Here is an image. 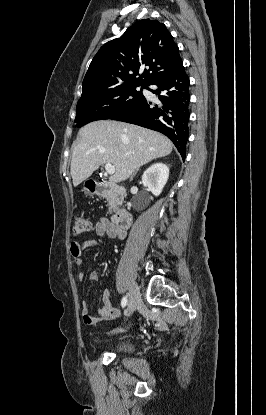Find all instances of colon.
<instances>
[{"instance_id":"5ec220e1","label":"colon","mask_w":266,"mask_h":415,"mask_svg":"<svg viewBox=\"0 0 266 415\" xmlns=\"http://www.w3.org/2000/svg\"><path fill=\"white\" fill-rule=\"evenodd\" d=\"M91 230L90 221L84 216H76L73 219L72 235L74 237L82 236Z\"/></svg>"}]
</instances>
